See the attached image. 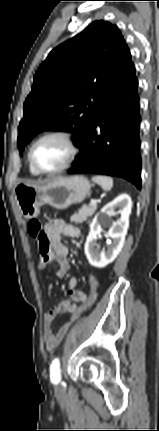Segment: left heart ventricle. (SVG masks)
Returning <instances> with one entry per match:
<instances>
[{"mask_svg":"<svg viewBox=\"0 0 159 431\" xmlns=\"http://www.w3.org/2000/svg\"><path fill=\"white\" fill-rule=\"evenodd\" d=\"M69 156L67 144L59 138H48L37 144L33 151L35 164L43 170H54Z\"/></svg>","mask_w":159,"mask_h":431,"instance_id":"obj_1","label":"left heart ventricle"}]
</instances>
